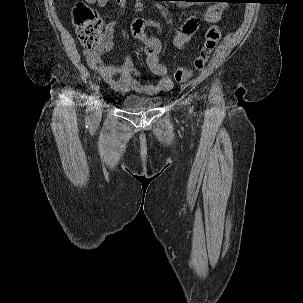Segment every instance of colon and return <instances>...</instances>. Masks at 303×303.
<instances>
[{"label": "colon", "instance_id": "1", "mask_svg": "<svg viewBox=\"0 0 303 303\" xmlns=\"http://www.w3.org/2000/svg\"><path fill=\"white\" fill-rule=\"evenodd\" d=\"M73 22L77 29L80 43L86 49H94L99 45L102 36V21L98 14L88 5L77 3L72 12ZM221 38V31L217 26H211L201 46V53L195 59L194 68L202 70L209 58V55L216 48ZM192 71L189 67L181 66L175 72L177 82L186 81Z\"/></svg>", "mask_w": 303, "mask_h": 303}]
</instances>
